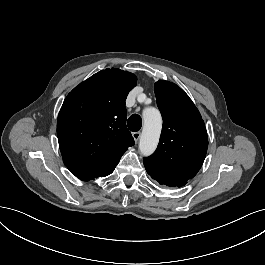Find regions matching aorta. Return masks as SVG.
<instances>
[{
  "label": "aorta",
  "instance_id": "aorta-1",
  "mask_svg": "<svg viewBox=\"0 0 265 265\" xmlns=\"http://www.w3.org/2000/svg\"><path fill=\"white\" fill-rule=\"evenodd\" d=\"M144 125L141 133L139 148L142 154L152 153L159 140L161 117L158 110L148 108L144 111Z\"/></svg>",
  "mask_w": 265,
  "mask_h": 265
}]
</instances>
